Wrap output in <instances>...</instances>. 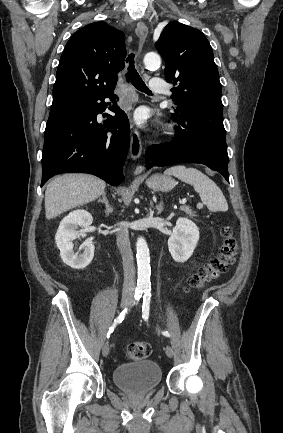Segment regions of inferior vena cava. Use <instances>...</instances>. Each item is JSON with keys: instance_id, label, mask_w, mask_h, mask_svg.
<instances>
[{"instance_id": "1", "label": "inferior vena cava", "mask_w": 283, "mask_h": 433, "mask_svg": "<svg viewBox=\"0 0 283 433\" xmlns=\"http://www.w3.org/2000/svg\"><path fill=\"white\" fill-rule=\"evenodd\" d=\"M117 247L121 253L124 269L123 293H133L135 289V267L133 253L130 247L129 233L123 223L119 225L117 233Z\"/></svg>"}]
</instances>
